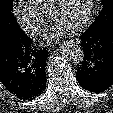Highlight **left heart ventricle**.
Masks as SVG:
<instances>
[{"mask_svg":"<svg viewBox=\"0 0 113 113\" xmlns=\"http://www.w3.org/2000/svg\"><path fill=\"white\" fill-rule=\"evenodd\" d=\"M89 0H63L55 15V21L70 28L84 17Z\"/></svg>","mask_w":113,"mask_h":113,"instance_id":"obj_1","label":"left heart ventricle"}]
</instances>
